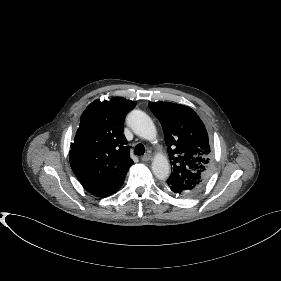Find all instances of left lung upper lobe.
Listing matches in <instances>:
<instances>
[{"label": "left lung upper lobe", "instance_id": "1", "mask_svg": "<svg viewBox=\"0 0 281 281\" xmlns=\"http://www.w3.org/2000/svg\"><path fill=\"white\" fill-rule=\"evenodd\" d=\"M148 105L164 131L172 170L166 184L189 192L191 197L203 188L213 165L205 126L188 106L169 102Z\"/></svg>", "mask_w": 281, "mask_h": 281}]
</instances>
